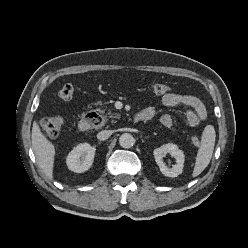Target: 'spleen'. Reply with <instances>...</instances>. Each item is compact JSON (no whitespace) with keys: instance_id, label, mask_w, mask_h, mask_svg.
Wrapping results in <instances>:
<instances>
[{"instance_id":"spleen-1","label":"spleen","mask_w":248,"mask_h":248,"mask_svg":"<svg viewBox=\"0 0 248 248\" xmlns=\"http://www.w3.org/2000/svg\"><path fill=\"white\" fill-rule=\"evenodd\" d=\"M215 130L212 126H207L201 137V145L198 149L196 162L193 170V177L201 174L210 163L215 145Z\"/></svg>"}]
</instances>
